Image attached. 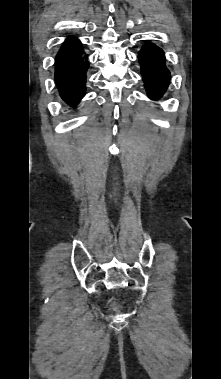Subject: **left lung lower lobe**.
Segmentation results:
<instances>
[{
	"label": "left lung lower lobe",
	"mask_w": 221,
	"mask_h": 379,
	"mask_svg": "<svg viewBox=\"0 0 221 379\" xmlns=\"http://www.w3.org/2000/svg\"><path fill=\"white\" fill-rule=\"evenodd\" d=\"M139 62L148 96L151 99L160 98L167 89L170 77L165 67L164 52L154 44L147 43L139 52Z\"/></svg>",
	"instance_id": "left-lung-lower-lobe-1"
}]
</instances>
